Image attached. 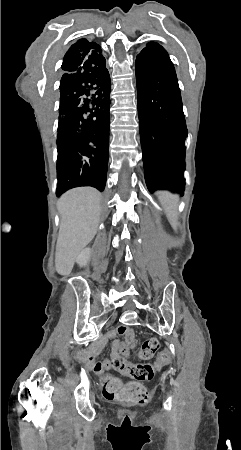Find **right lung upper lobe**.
<instances>
[{
	"mask_svg": "<svg viewBox=\"0 0 241 450\" xmlns=\"http://www.w3.org/2000/svg\"><path fill=\"white\" fill-rule=\"evenodd\" d=\"M104 60L100 45L83 38L69 48L61 67L63 73H71L84 66H97Z\"/></svg>",
	"mask_w": 241,
	"mask_h": 450,
	"instance_id": "1",
	"label": "right lung upper lobe"
}]
</instances>
